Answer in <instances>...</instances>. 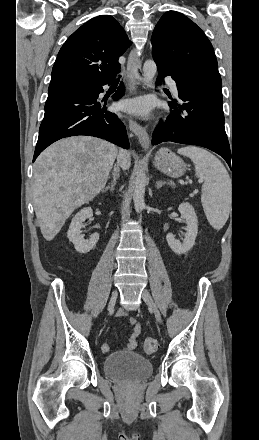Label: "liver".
Returning a JSON list of instances; mask_svg holds the SVG:
<instances>
[{
    "instance_id": "6515ba94",
    "label": "liver",
    "mask_w": 259,
    "mask_h": 440,
    "mask_svg": "<svg viewBox=\"0 0 259 440\" xmlns=\"http://www.w3.org/2000/svg\"><path fill=\"white\" fill-rule=\"evenodd\" d=\"M117 158L123 169L130 154L92 136L61 139L45 149L34 164L33 204L41 233L51 241L72 212L102 191Z\"/></svg>"
}]
</instances>
